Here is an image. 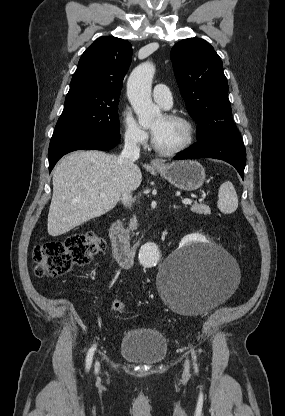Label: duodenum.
Wrapping results in <instances>:
<instances>
[{
  "label": "duodenum",
  "mask_w": 285,
  "mask_h": 416,
  "mask_svg": "<svg viewBox=\"0 0 285 416\" xmlns=\"http://www.w3.org/2000/svg\"><path fill=\"white\" fill-rule=\"evenodd\" d=\"M109 236L112 244L113 254L121 268H133L140 242L132 244L125 234L121 224L117 221L111 224Z\"/></svg>",
  "instance_id": "duodenum-1"
}]
</instances>
